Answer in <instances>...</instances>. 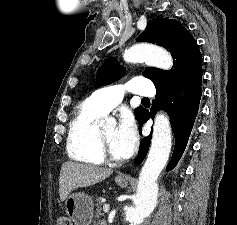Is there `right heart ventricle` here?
Instances as JSON below:
<instances>
[{
    "label": "right heart ventricle",
    "mask_w": 237,
    "mask_h": 225,
    "mask_svg": "<svg viewBox=\"0 0 237 225\" xmlns=\"http://www.w3.org/2000/svg\"><path fill=\"white\" fill-rule=\"evenodd\" d=\"M103 115L90 98L79 106L68 132L67 151L72 159L96 165L104 162L97 134Z\"/></svg>",
    "instance_id": "e07e8e85"
}]
</instances>
